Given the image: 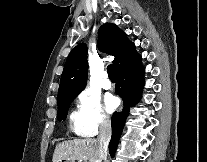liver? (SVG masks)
I'll use <instances>...</instances> for the list:
<instances>
[{"label": "liver", "instance_id": "obj_1", "mask_svg": "<svg viewBox=\"0 0 207 162\" xmlns=\"http://www.w3.org/2000/svg\"><path fill=\"white\" fill-rule=\"evenodd\" d=\"M98 149V141L93 138L64 141L56 146L52 162H62V160L96 162L99 160Z\"/></svg>", "mask_w": 207, "mask_h": 162}]
</instances>
